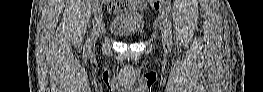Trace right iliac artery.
<instances>
[{
  "label": "right iliac artery",
  "mask_w": 263,
  "mask_h": 92,
  "mask_svg": "<svg viewBox=\"0 0 263 92\" xmlns=\"http://www.w3.org/2000/svg\"><path fill=\"white\" fill-rule=\"evenodd\" d=\"M103 4L102 0H95V3L93 4L92 10L96 12V14H99L100 5ZM93 25H96V22H93ZM86 48H89V39L86 42Z\"/></svg>",
  "instance_id": "obj_1"
}]
</instances>
